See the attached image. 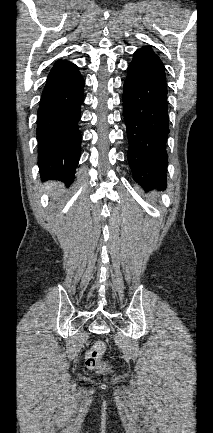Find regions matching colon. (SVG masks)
Returning <instances> with one entry per match:
<instances>
[{"label": "colon", "mask_w": 213, "mask_h": 433, "mask_svg": "<svg viewBox=\"0 0 213 433\" xmlns=\"http://www.w3.org/2000/svg\"><path fill=\"white\" fill-rule=\"evenodd\" d=\"M107 344L103 340H96L85 354V365L92 370L103 369L105 364L102 361L106 352Z\"/></svg>", "instance_id": "1"}]
</instances>
